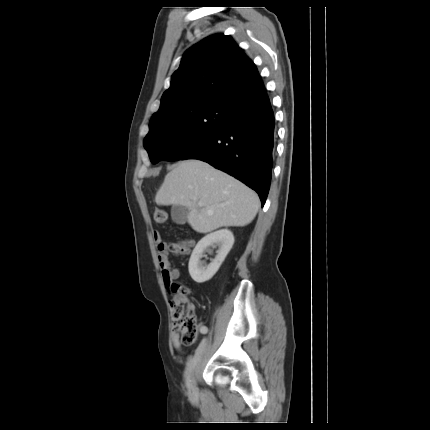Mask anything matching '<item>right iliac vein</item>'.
<instances>
[{
    "label": "right iliac vein",
    "mask_w": 430,
    "mask_h": 430,
    "mask_svg": "<svg viewBox=\"0 0 430 430\" xmlns=\"http://www.w3.org/2000/svg\"><path fill=\"white\" fill-rule=\"evenodd\" d=\"M206 345H207L206 341L201 342L199 344L191 361L190 373H189V384H188L189 396L191 398H196L198 396V388L196 385V373L198 371L202 356L205 352Z\"/></svg>",
    "instance_id": "right-iliac-vein-1"
}]
</instances>
